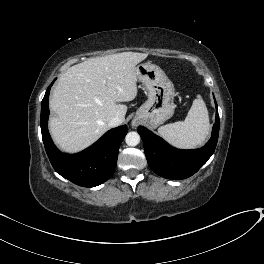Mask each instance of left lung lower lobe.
<instances>
[{
  "instance_id": "obj_1",
  "label": "left lung lower lobe",
  "mask_w": 264,
  "mask_h": 264,
  "mask_svg": "<svg viewBox=\"0 0 264 264\" xmlns=\"http://www.w3.org/2000/svg\"><path fill=\"white\" fill-rule=\"evenodd\" d=\"M138 133L144 143L148 164L156 174L173 180L188 178L208 161L215 150L219 134L217 104L212 136L206 145L200 149L180 150L173 148L162 138L142 126L138 127Z\"/></svg>"
}]
</instances>
